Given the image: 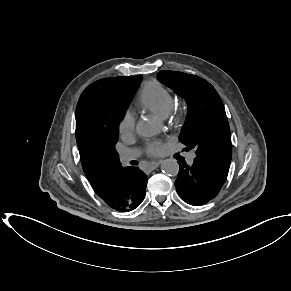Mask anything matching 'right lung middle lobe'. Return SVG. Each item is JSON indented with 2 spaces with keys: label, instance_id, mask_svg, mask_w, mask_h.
<instances>
[{
  "label": "right lung middle lobe",
  "instance_id": "1",
  "mask_svg": "<svg viewBox=\"0 0 291 291\" xmlns=\"http://www.w3.org/2000/svg\"><path fill=\"white\" fill-rule=\"evenodd\" d=\"M141 80V76H130L123 86L98 82L92 90L98 118V136L102 146L113 152L118 141L119 123L122 120L132 96Z\"/></svg>",
  "mask_w": 291,
  "mask_h": 291
}]
</instances>
